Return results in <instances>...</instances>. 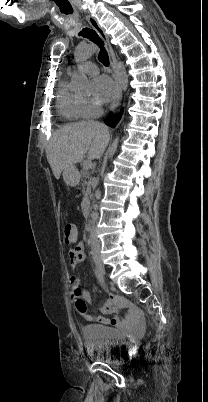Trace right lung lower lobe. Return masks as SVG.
Listing matches in <instances>:
<instances>
[{
	"label": "right lung lower lobe",
	"instance_id": "1",
	"mask_svg": "<svg viewBox=\"0 0 208 402\" xmlns=\"http://www.w3.org/2000/svg\"><path fill=\"white\" fill-rule=\"evenodd\" d=\"M123 113V109L121 110L120 114L117 117L112 116L111 114L106 118L105 124L110 126V127H115V125L118 123V121L121 118V115Z\"/></svg>",
	"mask_w": 208,
	"mask_h": 402
}]
</instances>
